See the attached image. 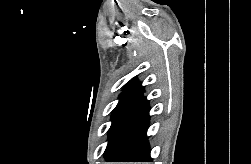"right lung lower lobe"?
I'll return each mask as SVG.
<instances>
[{
  "label": "right lung lower lobe",
  "instance_id": "1",
  "mask_svg": "<svg viewBox=\"0 0 251 164\" xmlns=\"http://www.w3.org/2000/svg\"><path fill=\"white\" fill-rule=\"evenodd\" d=\"M149 103L141 97L114 124L105 151L108 162H151L146 132Z\"/></svg>",
  "mask_w": 251,
  "mask_h": 164
}]
</instances>
